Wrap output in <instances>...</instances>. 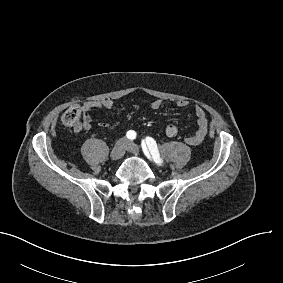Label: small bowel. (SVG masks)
<instances>
[{
	"mask_svg": "<svg viewBox=\"0 0 283 283\" xmlns=\"http://www.w3.org/2000/svg\"><path fill=\"white\" fill-rule=\"evenodd\" d=\"M177 104L182 108L188 106V102L185 100L178 101ZM162 106L163 102L160 99H155L150 102V108L152 110H159ZM113 108L114 101L109 98L84 102L81 105V110L84 115L83 128L88 131L91 129V123L102 124L106 122L109 115L104 110H111ZM194 113L196 117V131L184 139L185 143L189 146H197L201 144L207 135L209 126L206 112L202 106L196 105Z\"/></svg>",
	"mask_w": 283,
	"mask_h": 283,
	"instance_id": "small-bowel-1",
	"label": "small bowel"
}]
</instances>
